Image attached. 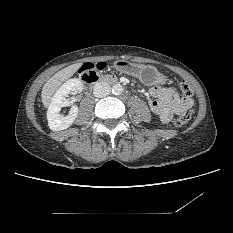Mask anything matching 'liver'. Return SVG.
<instances>
[{"label": "liver", "mask_w": 233, "mask_h": 233, "mask_svg": "<svg viewBox=\"0 0 233 233\" xmlns=\"http://www.w3.org/2000/svg\"><path fill=\"white\" fill-rule=\"evenodd\" d=\"M81 63L72 64L56 74H54L43 86L41 92V99L44 107H48L52 96L55 91L59 88V86L68 78L73 76V74L81 67Z\"/></svg>", "instance_id": "obj_1"}]
</instances>
